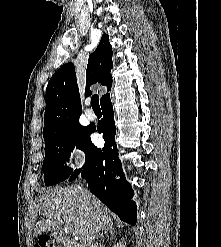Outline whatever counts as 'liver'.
<instances>
[{"label":"liver","instance_id":"6515ba94","mask_svg":"<svg viewBox=\"0 0 221 247\" xmlns=\"http://www.w3.org/2000/svg\"><path fill=\"white\" fill-rule=\"evenodd\" d=\"M38 215L43 217L36 221L35 236L65 225L81 241V247H94L96 234L112 224L109 210L78 187L54 188L42 194L35 203L34 222Z\"/></svg>","mask_w":221,"mask_h":247}]
</instances>
